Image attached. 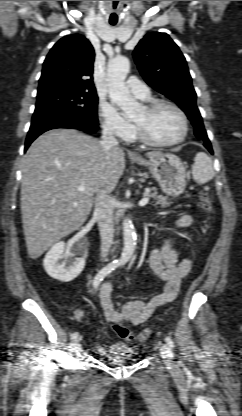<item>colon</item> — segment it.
<instances>
[{
    "label": "colon",
    "mask_w": 242,
    "mask_h": 416,
    "mask_svg": "<svg viewBox=\"0 0 242 416\" xmlns=\"http://www.w3.org/2000/svg\"><path fill=\"white\" fill-rule=\"evenodd\" d=\"M199 200L202 211L204 212L206 218L209 219L212 206L208 195L205 192H201L199 194ZM113 331L117 336L126 340L137 339L139 341H146L152 335V331L150 329H145L138 334H134L129 327L121 321L113 323Z\"/></svg>",
    "instance_id": "colon-1"
}]
</instances>
